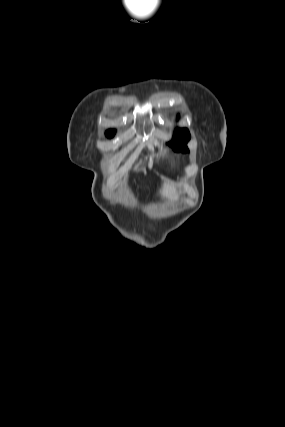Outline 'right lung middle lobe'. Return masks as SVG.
I'll return each instance as SVG.
<instances>
[{"label": "right lung middle lobe", "mask_w": 285, "mask_h": 427, "mask_svg": "<svg viewBox=\"0 0 285 427\" xmlns=\"http://www.w3.org/2000/svg\"><path fill=\"white\" fill-rule=\"evenodd\" d=\"M109 137H112L113 135H114V133L113 134H107Z\"/></svg>", "instance_id": "1"}]
</instances>
